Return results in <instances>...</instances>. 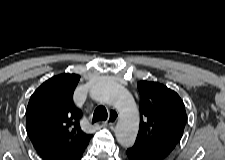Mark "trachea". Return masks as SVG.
Wrapping results in <instances>:
<instances>
[{
    "label": "trachea",
    "instance_id": "obj_1",
    "mask_svg": "<svg viewBox=\"0 0 225 160\" xmlns=\"http://www.w3.org/2000/svg\"><path fill=\"white\" fill-rule=\"evenodd\" d=\"M108 117L107 110L104 106H98L93 114L92 123L97 121H106Z\"/></svg>",
    "mask_w": 225,
    "mask_h": 160
}]
</instances>
